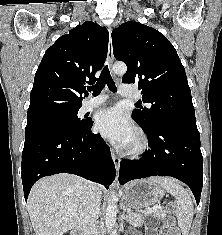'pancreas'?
<instances>
[{"instance_id": "1", "label": "pancreas", "mask_w": 222, "mask_h": 235, "mask_svg": "<svg viewBox=\"0 0 222 235\" xmlns=\"http://www.w3.org/2000/svg\"><path fill=\"white\" fill-rule=\"evenodd\" d=\"M154 215L157 216V217L160 218V219H163V218L166 216V214H165V212H164L163 210H157V211H155V212H154ZM136 217H137L136 214H134V213H129V215H128V220L131 221V222H134V221L136 220Z\"/></svg>"}]
</instances>
